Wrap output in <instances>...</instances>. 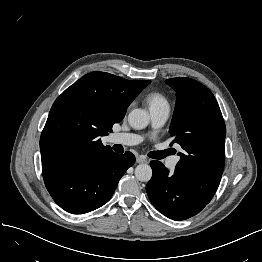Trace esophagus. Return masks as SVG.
I'll return each instance as SVG.
<instances>
[{"label": "esophagus", "instance_id": "1", "mask_svg": "<svg viewBox=\"0 0 262 262\" xmlns=\"http://www.w3.org/2000/svg\"><path fill=\"white\" fill-rule=\"evenodd\" d=\"M147 162H148V160L144 155H137L136 156V163L141 164V163H147Z\"/></svg>", "mask_w": 262, "mask_h": 262}]
</instances>
